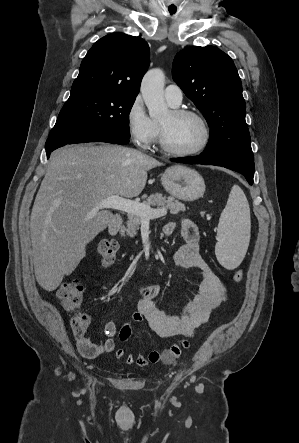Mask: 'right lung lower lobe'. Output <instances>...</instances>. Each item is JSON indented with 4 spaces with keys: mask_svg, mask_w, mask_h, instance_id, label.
Wrapping results in <instances>:
<instances>
[{
    "mask_svg": "<svg viewBox=\"0 0 299 443\" xmlns=\"http://www.w3.org/2000/svg\"><path fill=\"white\" fill-rule=\"evenodd\" d=\"M86 142H107L113 144H127L129 138L115 132H94L76 135L71 138H48L45 144L47 158L55 149L66 144L86 143Z\"/></svg>",
    "mask_w": 299,
    "mask_h": 443,
    "instance_id": "1",
    "label": "right lung lower lobe"
}]
</instances>
